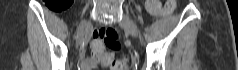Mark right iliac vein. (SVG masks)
<instances>
[{"instance_id": "63e3f726", "label": "right iliac vein", "mask_w": 238, "mask_h": 70, "mask_svg": "<svg viewBox=\"0 0 238 70\" xmlns=\"http://www.w3.org/2000/svg\"><path fill=\"white\" fill-rule=\"evenodd\" d=\"M88 22L86 20L82 21L78 27L77 40L81 41L84 37L85 31L88 27Z\"/></svg>"}]
</instances>
